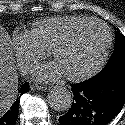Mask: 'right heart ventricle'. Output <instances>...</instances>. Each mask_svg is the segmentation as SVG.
<instances>
[{
  "label": "right heart ventricle",
  "mask_w": 125,
  "mask_h": 125,
  "mask_svg": "<svg viewBox=\"0 0 125 125\" xmlns=\"http://www.w3.org/2000/svg\"><path fill=\"white\" fill-rule=\"evenodd\" d=\"M90 18L82 16H58L44 18L33 24L31 32L35 39L47 51L51 49L54 42L78 23Z\"/></svg>",
  "instance_id": "obj_1"
}]
</instances>
